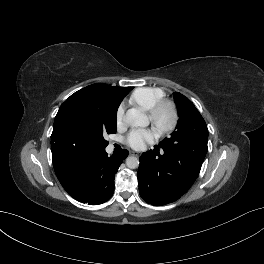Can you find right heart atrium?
<instances>
[{"label": "right heart atrium", "instance_id": "1", "mask_svg": "<svg viewBox=\"0 0 264 264\" xmlns=\"http://www.w3.org/2000/svg\"><path fill=\"white\" fill-rule=\"evenodd\" d=\"M123 117H124V107L120 106L118 107L115 115V121L118 126H120L123 122Z\"/></svg>", "mask_w": 264, "mask_h": 264}]
</instances>
